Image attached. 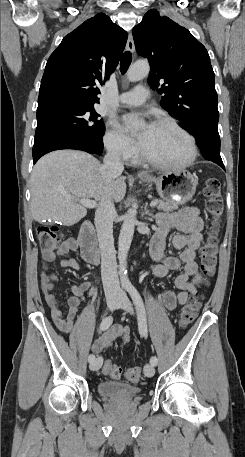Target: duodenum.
I'll return each instance as SVG.
<instances>
[{
  "label": "duodenum",
  "mask_w": 245,
  "mask_h": 457,
  "mask_svg": "<svg viewBox=\"0 0 245 457\" xmlns=\"http://www.w3.org/2000/svg\"><path fill=\"white\" fill-rule=\"evenodd\" d=\"M78 243L81 256L87 263L93 265L100 263V252L91 220L83 222L78 237Z\"/></svg>",
  "instance_id": "410a0bca"
}]
</instances>
